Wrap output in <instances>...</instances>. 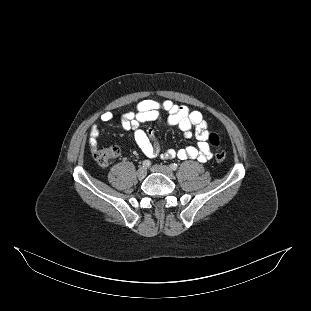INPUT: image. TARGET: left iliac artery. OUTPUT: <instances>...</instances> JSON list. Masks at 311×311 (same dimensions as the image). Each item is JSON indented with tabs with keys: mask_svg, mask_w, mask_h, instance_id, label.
I'll return each instance as SVG.
<instances>
[{
	"mask_svg": "<svg viewBox=\"0 0 311 311\" xmlns=\"http://www.w3.org/2000/svg\"><path fill=\"white\" fill-rule=\"evenodd\" d=\"M170 169H172V170H177V168H178V166H177V164H175V163H172V164H170Z\"/></svg>",
	"mask_w": 311,
	"mask_h": 311,
	"instance_id": "1",
	"label": "left iliac artery"
}]
</instances>
